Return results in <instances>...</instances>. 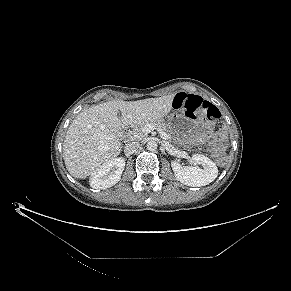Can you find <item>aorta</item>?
<instances>
[{"mask_svg":"<svg viewBox=\"0 0 291 291\" xmlns=\"http://www.w3.org/2000/svg\"><path fill=\"white\" fill-rule=\"evenodd\" d=\"M158 147V144L155 140H149L147 143V149L149 151H155Z\"/></svg>","mask_w":291,"mask_h":291,"instance_id":"obj_1","label":"aorta"}]
</instances>
